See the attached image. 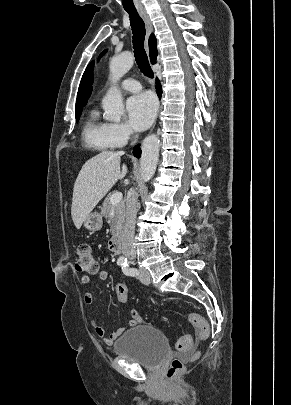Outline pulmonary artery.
<instances>
[{"instance_id":"1","label":"pulmonary artery","mask_w":291,"mask_h":405,"mask_svg":"<svg viewBox=\"0 0 291 405\" xmlns=\"http://www.w3.org/2000/svg\"><path fill=\"white\" fill-rule=\"evenodd\" d=\"M121 88L131 92H138L141 90V84L134 79H125L121 82Z\"/></svg>"}]
</instances>
